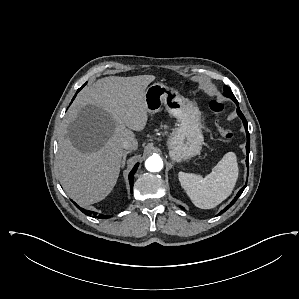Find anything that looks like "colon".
Here are the masks:
<instances>
[{"label": "colon", "mask_w": 299, "mask_h": 299, "mask_svg": "<svg viewBox=\"0 0 299 299\" xmlns=\"http://www.w3.org/2000/svg\"><path fill=\"white\" fill-rule=\"evenodd\" d=\"M210 109L215 115L219 116L223 112L224 106L220 101L212 100L210 102ZM217 130L219 136L224 141H231L233 139L234 136L233 131L229 127L223 125L222 123L218 122Z\"/></svg>", "instance_id": "1"}]
</instances>
